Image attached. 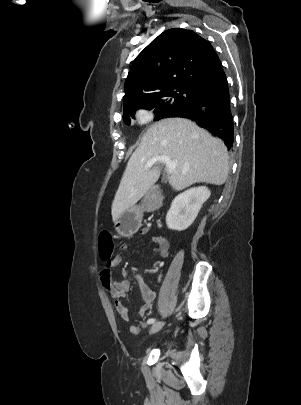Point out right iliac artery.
<instances>
[{
    "mask_svg": "<svg viewBox=\"0 0 301 405\" xmlns=\"http://www.w3.org/2000/svg\"><path fill=\"white\" fill-rule=\"evenodd\" d=\"M155 321H156V320L153 319V318H152V319H149V320H148V324H152V323H154Z\"/></svg>",
    "mask_w": 301,
    "mask_h": 405,
    "instance_id": "1",
    "label": "right iliac artery"
}]
</instances>
